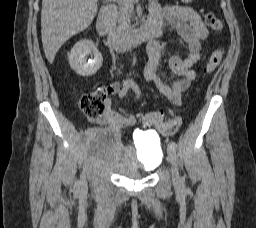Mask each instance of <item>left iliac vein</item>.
<instances>
[{
	"mask_svg": "<svg viewBox=\"0 0 256 228\" xmlns=\"http://www.w3.org/2000/svg\"><path fill=\"white\" fill-rule=\"evenodd\" d=\"M167 154H168V159L170 163L172 164V177H173V182L175 185H179L181 183V178L178 172L177 168V155L176 151L173 147L168 145L167 147Z\"/></svg>",
	"mask_w": 256,
	"mask_h": 228,
	"instance_id": "obj_1",
	"label": "left iliac vein"
}]
</instances>
